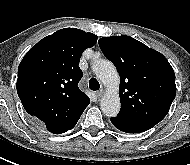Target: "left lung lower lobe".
I'll use <instances>...</instances> for the list:
<instances>
[{"instance_id": "1", "label": "left lung lower lobe", "mask_w": 190, "mask_h": 165, "mask_svg": "<svg viewBox=\"0 0 190 165\" xmlns=\"http://www.w3.org/2000/svg\"><path fill=\"white\" fill-rule=\"evenodd\" d=\"M111 122L117 129L126 133H141L151 129L154 126L152 124L126 121L119 117L111 118Z\"/></svg>"}]
</instances>
